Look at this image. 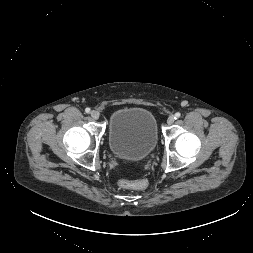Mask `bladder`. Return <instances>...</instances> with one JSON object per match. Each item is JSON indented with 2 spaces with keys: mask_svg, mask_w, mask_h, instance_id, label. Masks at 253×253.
Instances as JSON below:
<instances>
[{
  "mask_svg": "<svg viewBox=\"0 0 253 253\" xmlns=\"http://www.w3.org/2000/svg\"><path fill=\"white\" fill-rule=\"evenodd\" d=\"M158 143L157 122L143 107H122L109 120L108 144L121 160L140 162L147 159Z\"/></svg>",
  "mask_w": 253,
  "mask_h": 253,
  "instance_id": "31cf9c89",
  "label": "bladder"
}]
</instances>
